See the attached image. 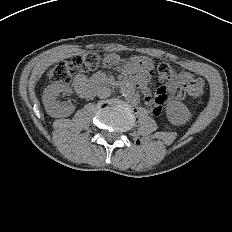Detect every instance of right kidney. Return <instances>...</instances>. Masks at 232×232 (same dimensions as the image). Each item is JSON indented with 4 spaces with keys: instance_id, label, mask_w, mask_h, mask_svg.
Masks as SVG:
<instances>
[{
    "instance_id": "ca27d5eb",
    "label": "right kidney",
    "mask_w": 232,
    "mask_h": 232,
    "mask_svg": "<svg viewBox=\"0 0 232 232\" xmlns=\"http://www.w3.org/2000/svg\"><path fill=\"white\" fill-rule=\"evenodd\" d=\"M60 93L71 94L72 89L64 84H51L44 89L42 96V102L47 114L54 118L68 117L75 110L72 104H59L57 97Z\"/></svg>"
}]
</instances>
